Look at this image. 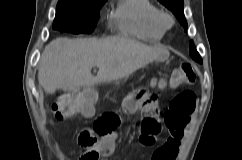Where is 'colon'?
I'll return each instance as SVG.
<instances>
[{
    "label": "colon",
    "instance_id": "5ec220e1",
    "mask_svg": "<svg viewBox=\"0 0 242 160\" xmlns=\"http://www.w3.org/2000/svg\"><path fill=\"white\" fill-rule=\"evenodd\" d=\"M196 80V72L192 64L183 63L178 66L172 74L170 86L173 88L181 85L193 84ZM163 87L164 83H158ZM129 103L137 104L143 113L141 126V141L153 143V135L157 134L161 125L158 120V107L155 97L146 88H138L129 96ZM96 97L92 92L69 93L60 96L52 107L53 119L64 121L76 117L83 112H89L94 108ZM195 106L194 93L190 90L179 93L170 103L165 112V123L168 128H178L186 124ZM120 123L119 115L110 112L101 115L92 128L82 130L81 144L85 147L93 146L99 137L112 132ZM85 158L87 160H98V154L91 151Z\"/></svg>",
    "mask_w": 242,
    "mask_h": 160
}]
</instances>
